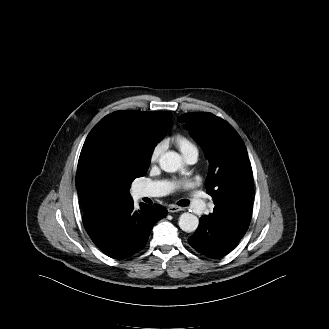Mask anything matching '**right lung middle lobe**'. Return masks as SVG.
Wrapping results in <instances>:
<instances>
[{
	"label": "right lung middle lobe",
	"instance_id": "dd1d6c3e",
	"mask_svg": "<svg viewBox=\"0 0 329 329\" xmlns=\"http://www.w3.org/2000/svg\"><path fill=\"white\" fill-rule=\"evenodd\" d=\"M155 143L151 140H119L113 150L102 151L77 174L84 195L93 203L131 198V182L144 176Z\"/></svg>",
	"mask_w": 329,
	"mask_h": 329
}]
</instances>
